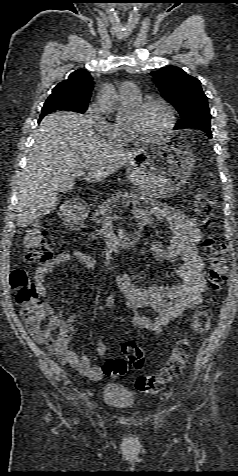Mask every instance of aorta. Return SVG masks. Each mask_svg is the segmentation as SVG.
Segmentation results:
<instances>
[{
	"mask_svg": "<svg viewBox=\"0 0 238 476\" xmlns=\"http://www.w3.org/2000/svg\"><path fill=\"white\" fill-rule=\"evenodd\" d=\"M100 103L102 105V109L109 114H114L120 110L118 96L114 88L111 86L107 87L100 99Z\"/></svg>",
	"mask_w": 238,
	"mask_h": 476,
	"instance_id": "aorta-1",
	"label": "aorta"
}]
</instances>
